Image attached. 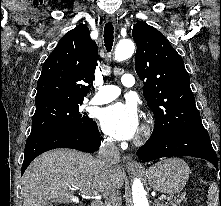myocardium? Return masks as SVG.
<instances>
[{"instance_id":"myocardium-1","label":"myocardium","mask_w":221,"mask_h":206,"mask_svg":"<svg viewBox=\"0 0 221 206\" xmlns=\"http://www.w3.org/2000/svg\"><path fill=\"white\" fill-rule=\"evenodd\" d=\"M148 132H149V127H148V125H145L143 130H142V134L137 139V142H140L148 134Z\"/></svg>"}]
</instances>
